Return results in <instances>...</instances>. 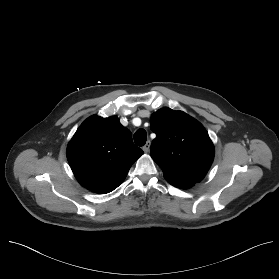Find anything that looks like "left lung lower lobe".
Instances as JSON below:
<instances>
[{
	"instance_id": "obj_1",
	"label": "left lung lower lobe",
	"mask_w": 279,
	"mask_h": 279,
	"mask_svg": "<svg viewBox=\"0 0 279 279\" xmlns=\"http://www.w3.org/2000/svg\"><path fill=\"white\" fill-rule=\"evenodd\" d=\"M166 180H168V182H170L171 185L177 187V188H182V189H187L190 188L194 185V183H190V182H186V181H180L177 179H168L165 178Z\"/></svg>"
}]
</instances>
